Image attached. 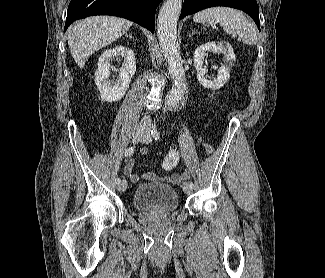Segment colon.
<instances>
[{
	"label": "colon",
	"instance_id": "5ec220e1",
	"mask_svg": "<svg viewBox=\"0 0 325 278\" xmlns=\"http://www.w3.org/2000/svg\"><path fill=\"white\" fill-rule=\"evenodd\" d=\"M179 153L176 149H171L162 162V168L165 171L173 170L179 162Z\"/></svg>",
	"mask_w": 325,
	"mask_h": 278
}]
</instances>
